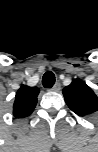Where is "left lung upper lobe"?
Returning a JSON list of instances; mask_svg holds the SVG:
<instances>
[{
    "label": "left lung upper lobe",
    "mask_w": 98,
    "mask_h": 152,
    "mask_svg": "<svg viewBox=\"0 0 98 152\" xmlns=\"http://www.w3.org/2000/svg\"><path fill=\"white\" fill-rule=\"evenodd\" d=\"M68 107L79 116H88L98 111V97L82 80L74 79L63 89Z\"/></svg>",
    "instance_id": "obj_1"
}]
</instances>
